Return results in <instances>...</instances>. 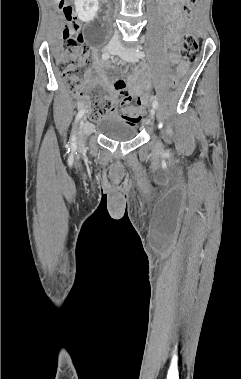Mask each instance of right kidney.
I'll return each mask as SVG.
<instances>
[{"instance_id": "right-kidney-1", "label": "right kidney", "mask_w": 241, "mask_h": 379, "mask_svg": "<svg viewBox=\"0 0 241 379\" xmlns=\"http://www.w3.org/2000/svg\"><path fill=\"white\" fill-rule=\"evenodd\" d=\"M98 8V0H75L76 14L83 22H90L93 20Z\"/></svg>"}]
</instances>
